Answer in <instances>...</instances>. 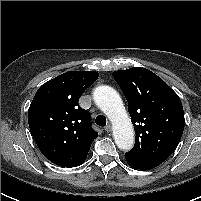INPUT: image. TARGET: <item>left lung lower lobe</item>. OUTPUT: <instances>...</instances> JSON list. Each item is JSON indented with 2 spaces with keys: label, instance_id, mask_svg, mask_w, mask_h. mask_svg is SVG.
Here are the masks:
<instances>
[{
  "label": "left lung lower lobe",
  "instance_id": "left-lung-lower-lobe-1",
  "mask_svg": "<svg viewBox=\"0 0 201 201\" xmlns=\"http://www.w3.org/2000/svg\"><path fill=\"white\" fill-rule=\"evenodd\" d=\"M128 165L132 168L135 169H140V170H148V169H152L157 167L158 165H160L161 163H138V162H134L132 160L127 159Z\"/></svg>",
  "mask_w": 201,
  "mask_h": 201
}]
</instances>
